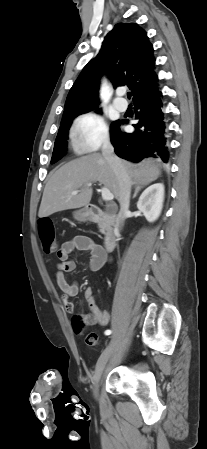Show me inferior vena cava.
Returning <instances> with one entry per match:
<instances>
[{
	"instance_id": "1",
	"label": "inferior vena cava",
	"mask_w": 207,
	"mask_h": 449,
	"mask_svg": "<svg viewBox=\"0 0 207 449\" xmlns=\"http://www.w3.org/2000/svg\"><path fill=\"white\" fill-rule=\"evenodd\" d=\"M102 155L108 164L111 166L120 189L119 203L120 211L118 213V224L123 226L129 211L130 193H131V181L124 167L122 161L115 155L114 147L109 140H106L102 146Z\"/></svg>"
}]
</instances>
